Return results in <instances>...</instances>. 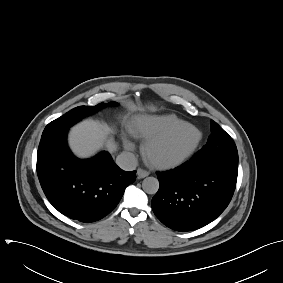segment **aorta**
Masks as SVG:
<instances>
[{
  "mask_svg": "<svg viewBox=\"0 0 283 283\" xmlns=\"http://www.w3.org/2000/svg\"><path fill=\"white\" fill-rule=\"evenodd\" d=\"M142 188L147 194H155L159 189V181L155 177H146L142 182Z\"/></svg>",
  "mask_w": 283,
  "mask_h": 283,
  "instance_id": "1",
  "label": "aorta"
}]
</instances>
